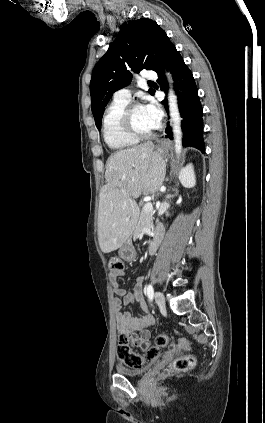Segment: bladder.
Listing matches in <instances>:
<instances>
[{"mask_svg": "<svg viewBox=\"0 0 265 423\" xmlns=\"http://www.w3.org/2000/svg\"><path fill=\"white\" fill-rule=\"evenodd\" d=\"M146 370H147L146 367L132 369V368H126L122 365L116 366V371L118 374L123 376H128V377H140L144 375Z\"/></svg>", "mask_w": 265, "mask_h": 423, "instance_id": "1", "label": "bladder"}]
</instances>
